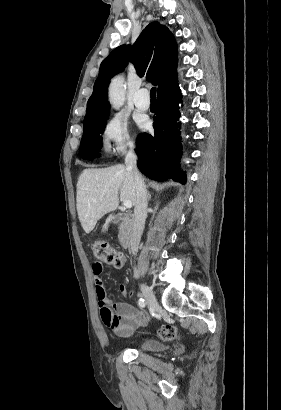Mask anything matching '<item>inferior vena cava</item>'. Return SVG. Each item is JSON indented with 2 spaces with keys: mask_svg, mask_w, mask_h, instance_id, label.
I'll list each match as a JSON object with an SVG mask.
<instances>
[{
  "mask_svg": "<svg viewBox=\"0 0 281 410\" xmlns=\"http://www.w3.org/2000/svg\"><path fill=\"white\" fill-rule=\"evenodd\" d=\"M136 163L137 156L134 152V146L132 145L125 158L126 167L132 172L136 187V201L134 208L135 218L130 238V252L132 253V255H136L138 251L140 239L145 226L148 206L146 186L141 174L137 169ZM134 277H138V271L136 268H134Z\"/></svg>",
  "mask_w": 281,
  "mask_h": 410,
  "instance_id": "602c4592",
  "label": "inferior vena cava"
}]
</instances>
